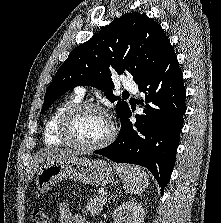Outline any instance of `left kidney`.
I'll return each instance as SVG.
<instances>
[{
    "label": "left kidney",
    "mask_w": 221,
    "mask_h": 223,
    "mask_svg": "<svg viewBox=\"0 0 221 223\" xmlns=\"http://www.w3.org/2000/svg\"><path fill=\"white\" fill-rule=\"evenodd\" d=\"M145 216L142 204L126 201L113 212L115 223H143Z\"/></svg>",
    "instance_id": "1"
}]
</instances>
